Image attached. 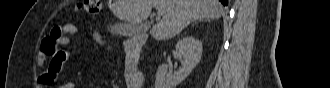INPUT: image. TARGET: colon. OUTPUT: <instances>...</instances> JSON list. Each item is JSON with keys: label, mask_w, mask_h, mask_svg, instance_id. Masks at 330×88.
<instances>
[{"label": "colon", "mask_w": 330, "mask_h": 88, "mask_svg": "<svg viewBox=\"0 0 330 88\" xmlns=\"http://www.w3.org/2000/svg\"><path fill=\"white\" fill-rule=\"evenodd\" d=\"M99 2L96 0H84L77 8L78 16L85 14L89 17H94L98 14ZM64 35L62 27L54 28L50 35L45 37L42 42V49L50 55H53L52 67L56 65L55 58L60 54V50H57V40ZM95 40L100 45H105V42L98 34L94 35Z\"/></svg>", "instance_id": "obj_1"}]
</instances>
